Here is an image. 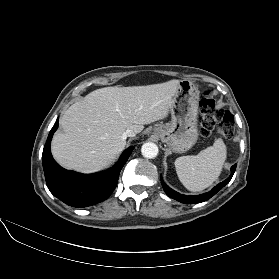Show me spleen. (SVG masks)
Returning <instances> with one entry per match:
<instances>
[{
  "mask_svg": "<svg viewBox=\"0 0 279 279\" xmlns=\"http://www.w3.org/2000/svg\"><path fill=\"white\" fill-rule=\"evenodd\" d=\"M226 146L217 139L197 155L181 156L175 160V168L181 183L190 191H202L210 187L220 176L226 160Z\"/></svg>",
  "mask_w": 279,
  "mask_h": 279,
  "instance_id": "1",
  "label": "spleen"
}]
</instances>
